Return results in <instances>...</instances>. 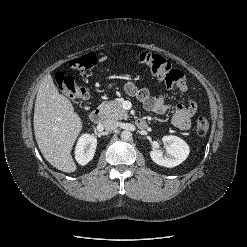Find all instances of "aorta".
Instances as JSON below:
<instances>
[{
	"label": "aorta",
	"instance_id": "762f6f07",
	"mask_svg": "<svg viewBox=\"0 0 247 247\" xmlns=\"http://www.w3.org/2000/svg\"><path fill=\"white\" fill-rule=\"evenodd\" d=\"M120 136H121V139H122V140L128 141V140L131 139L132 133H131L130 131L125 130V131H123V132L121 133Z\"/></svg>",
	"mask_w": 247,
	"mask_h": 247
}]
</instances>
